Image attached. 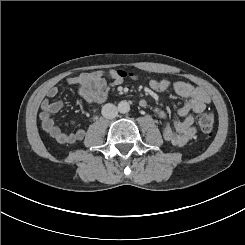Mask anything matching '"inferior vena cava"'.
<instances>
[{"label":"inferior vena cava","mask_w":245,"mask_h":245,"mask_svg":"<svg viewBox=\"0 0 245 245\" xmlns=\"http://www.w3.org/2000/svg\"><path fill=\"white\" fill-rule=\"evenodd\" d=\"M102 116L106 119H113L117 116L118 110L114 104H105L101 110Z\"/></svg>","instance_id":"602c4592"}]
</instances>
